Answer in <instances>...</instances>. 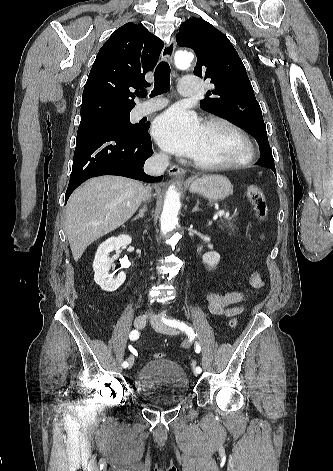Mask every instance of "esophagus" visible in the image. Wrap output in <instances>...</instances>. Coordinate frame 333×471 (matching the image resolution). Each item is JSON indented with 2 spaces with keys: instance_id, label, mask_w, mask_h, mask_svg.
<instances>
[{
  "instance_id": "obj_1",
  "label": "esophagus",
  "mask_w": 333,
  "mask_h": 471,
  "mask_svg": "<svg viewBox=\"0 0 333 471\" xmlns=\"http://www.w3.org/2000/svg\"><path fill=\"white\" fill-rule=\"evenodd\" d=\"M175 48H176V40H175V37L172 36L170 42H168L164 46L161 52V56H160L161 61L172 63ZM168 173L170 176L183 177L185 174V171L179 166L171 165L168 168Z\"/></svg>"
}]
</instances>
